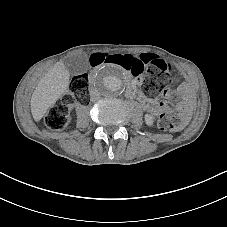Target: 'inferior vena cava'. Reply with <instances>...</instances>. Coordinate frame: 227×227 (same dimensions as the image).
Instances as JSON below:
<instances>
[{"mask_svg": "<svg viewBox=\"0 0 227 227\" xmlns=\"http://www.w3.org/2000/svg\"><path fill=\"white\" fill-rule=\"evenodd\" d=\"M98 99H99V93H98V91L95 90V89H91L90 90V100L92 102H95Z\"/></svg>", "mask_w": 227, "mask_h": 227, "instance_id": "602c4592", "label": "inferior vena cava"}]
</instances>
